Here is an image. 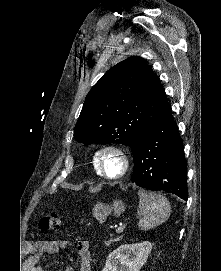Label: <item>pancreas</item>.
I'll list each match as a JSON object with an SVG mask.
<instances>
[{"mask_svg": "<svg viewBox=\"0 0 221 271\" xmlns=\"http://www.w3.org/2000/svg\"><path fill=\"white\" fill-rule=\"evenodd\" d=\"M116 244V239H105L104 247H113Z\"/></svg>", "mask_w": 221, "mask_h": 271, "instance_id": "pancreas-1", "label": "pancreas"}]
</instances>
